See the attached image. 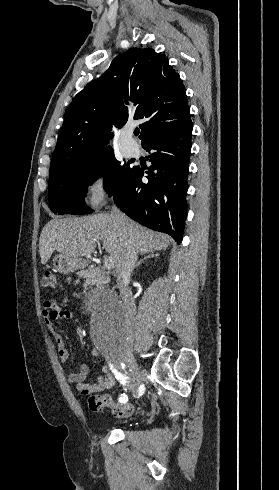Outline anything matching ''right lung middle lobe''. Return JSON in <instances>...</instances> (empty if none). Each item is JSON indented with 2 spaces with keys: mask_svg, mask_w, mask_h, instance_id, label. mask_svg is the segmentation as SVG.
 Instances as JSON below:
<instances>
[{
  "mask_svg": "<svg viewBox=\"0 0 279 490\" xmlns=\"http://www.w3.org/2000/svg\"><path fill=\"white\" fill-rule=\"evenodd\" d=\"M131 170L129 164L117 161L113 150L108 149L94 160L49 178L50 208L59 214L90 213L84 203L87 187L98 177L105 175L104 188L110 195H114Z\"/></svg>",
  "mask_w": 279,
  "mask_h": 490,
  "instance_id": "1",
  "label": "right lung middle lobe"
}]
</instances>
